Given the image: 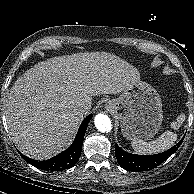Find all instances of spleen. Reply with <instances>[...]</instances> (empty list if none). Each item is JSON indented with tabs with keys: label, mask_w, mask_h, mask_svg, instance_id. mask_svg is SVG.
I'll return each instance as SVG.
<instances>
[{
	"label": "spleen",
	"mask_w": 194,
	"mask_h": 194,
	"mask_svg": "<svg viewBox=\"0 0 194 194\" xmlns=\"http://www.w3.org/2000/svg\"><path fill=\"white\" fill-rule=\"evenodd\" d=\"M185 121V114L177 116L176 121L171 122V128L177 130ZM177 140V134L171 131H165L158 139L146 142L140 139L132 140V148L138 154H155L172 147Z\"/></svg>",
	"instance_id": "obj_1"
}]
</instances>
